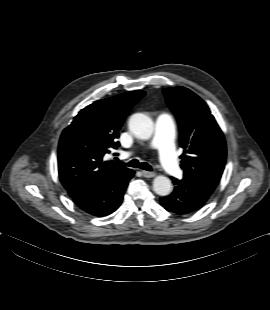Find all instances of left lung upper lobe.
<instances>
[{"instance_id": "left-lung-upper-lobe-1", "label": "left lung upper lobe", "mask_w": 270, "mask_h": 310, "mask_svg": "<svg viewBox=\"0 0 270 310\" xmlns=\"http://www.w3.org/2000/svg\"><path fill=\"white\" fill-rule=\"evenodd\" d=\"M180 129L184 176L218 184L226 162L224 135L207 104L184 87L163 89Z\"/></svg>"}]
</instances>
